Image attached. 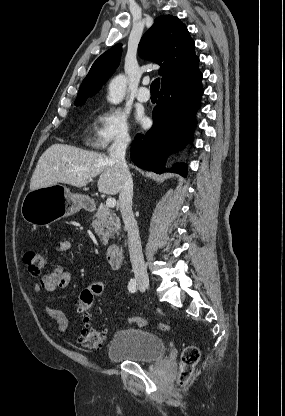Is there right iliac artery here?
Returning a JSON list of instances; mask_svg holds the SVG:
<instances>
[{
  "label": "right iliac artery",
  "instance_id": "right-iliac-artery-1",
  "mask_svg": "<svg viewBox=\"0 0 285 416\" xmlns=\"http://www.w3.org/2000/svg\"><path fill=\"white\" fill-rule=\"evenodd\" d=\"M138 288V283L136 279H131L128 283V290L130 293H134Z\"/></svg>",
  "mask_w": 285,
  "mask_h": 416
}]
</instances>
